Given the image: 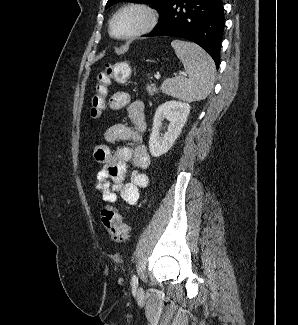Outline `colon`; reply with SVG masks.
I'll list each match as a JSON object with an SVG mask.
<instances>
[{"label":"colon","mask_w":298,"mask_h":325,"mask_svg":"<svg viewBox=\"0 0 298 325\" xmlns=\"http://www.w3.org/2000/svg\"><path fill=\"white\" fill-rule=\"evenodd\" d=\"M131 74V66L126 62L107 63L97 72L95 92L91 98L90 115L96 119L106 108V97L112 83L125 84ZM101 221L107 235L117 243H125L130 238V229L124 223L120 212L111 205L101 210Z\"/></svg>","instance_id":"colon-1"}]
</instances>
